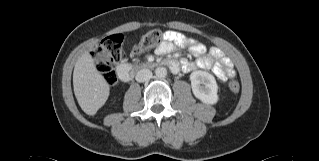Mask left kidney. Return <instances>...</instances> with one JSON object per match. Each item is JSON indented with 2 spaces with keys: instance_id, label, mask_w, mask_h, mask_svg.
<instances>
[{
  "instance_id": "left-kidney-1",
  "label": "left kidney",
  "mask_w": 319,
  "mask_h": 161,
  "mask_svg": "<svg viewBox=\"0 0 319 161\" xmlns=\"http://www.w3.org/2000/svg\"><path fill=\"white\" fill-rule=\"evenodd\" d=\"M193 94L206 104H216L218 101V85L214 76L206 71H194L190 74Z\"/></svg>"
}]
</instances>
